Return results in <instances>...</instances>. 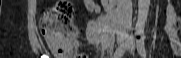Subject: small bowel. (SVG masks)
Instances as JSON below:
<instances>
[{"label":"small bowel","instance_id":"small-bowel-1","mask_svg":"<svg viewBox=\"0 0 181 58\" xmlns=\"http://www.w3.org/2000/svg\"><path fill=\"white\" fill-rule=\"evenodd\" d=\"M83 6L92 13H99L100 6L95 0H82ZM164 30L170 41V48L174 55L181 57V42L179 35L181 33V19L177 16L174 7L169 4L166 9V21ZM93 42V39H90Z\"/></svg>","mask_w":181,"mask_h":58}]
</instances>
